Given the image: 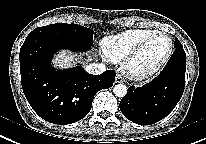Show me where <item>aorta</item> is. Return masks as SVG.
I'll list each match as a JSON object with an SVG mask.
<instances>
[{"mask_svg":"<svg viewBox=\"0 0 206 144\" xmlns=\"http://www.w3.org/2000/svg\"><path fill=\"white\" fill-rule=\"evenodd\" d=\"M113 93L117 97H124L127 94V87L124 84H116L113 87Z\"/></svg>","mask_w":206,"mask_h":144,"instance_id":"aorta-1","label":"aorta"}]
</instances>
